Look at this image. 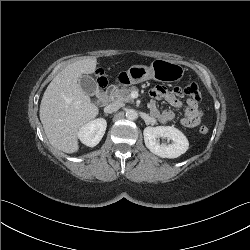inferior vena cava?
<instances>
[{
	"label": "inferior vena cava",
	"mask_w": 250,
	"mask_h": 250,
	"mask_svg": "<svg viewBox=\"0 0 250 250\" xmlns=\"http://www.w3.org/2000/svg\"><path fill=\"white\" fill-rule=\"evenodd\" d=\"M121 107H122L121 103H119V102H113V103H110L109 105H107L104 108V112L105 113H113V112L118 111Z\"/></svg>",
	"instance_id": "inferior-vena-cava-1"
}]
</instances>
